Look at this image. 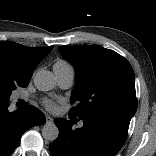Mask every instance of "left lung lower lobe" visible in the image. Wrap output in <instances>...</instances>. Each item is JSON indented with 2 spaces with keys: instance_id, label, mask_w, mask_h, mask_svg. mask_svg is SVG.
<instances>
[{
  "instance_id": "obj_1",
  "label": "left lung lower lobe",
  "mask_w": 156,
  "mask_h": 156,
  "mask_svg": "<svg viewBox=\"0 0 156 156\" xmlns=\"http://www.w3.org/2000/svg\"><path fill=\"white\" fill-rule=\"evenodd\" d=\"M82 120L83 127L76 130L69 120H54L59 136L49 146L52 156H115L126 140L130 122L115 116Z\"/></svg>"
}]
</instances>
